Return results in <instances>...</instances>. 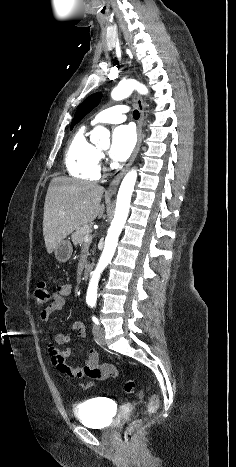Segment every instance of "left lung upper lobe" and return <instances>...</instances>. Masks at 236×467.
I'll use <instances>...</instances> for the list:
<instances>
[{
    "mask_svg": "<svg viewBox=\"0 0 236 467\" xmlns=\"http://www.w3.org/2000/svg\"><path fill=\"white\" fill-rule=\"evenodd\" d=\"M102 98L101 93H95L85 99L80 106L78 107L75 116L71 123V129L85 116L87 115L92 109H94L100 102Z\"/></svg>",
    "mask_w": 236,
    "mask_h": 467,
    "instance_id": "5c2ea615",
    "label": "left lung upper lobe"
}]
</instances>
